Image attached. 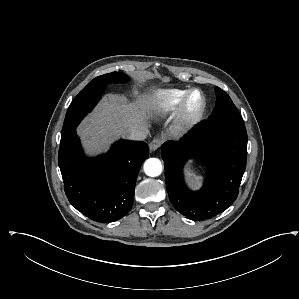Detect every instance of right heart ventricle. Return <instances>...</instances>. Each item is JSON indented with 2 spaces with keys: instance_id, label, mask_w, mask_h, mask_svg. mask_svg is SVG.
Returning a JSON list of instances; mask_svg holds the SVG:
<instances>
[{
  "instance_id": "obj_1",
  "label": "right heart ventricle",
  "mask_w": 299,
  "mask_h": 299,
  "mask_svg": "<svg viewBox=\"0 0 299 299\" xmlns=\"http://www.w3.org/2000/svg\"><path fill=\"white\" fill-rule=\"evenodd\" d=\"M184 89H166L158 92L155 97V107L160 113L173 110L185 94Z\"/></svg>"
}]
</instances>
